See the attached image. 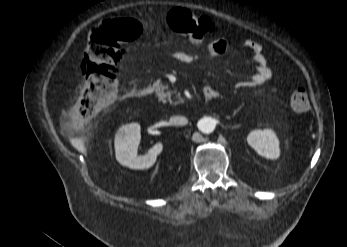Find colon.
Returning <instances> with one entry per match:
<instances>
[{
  "label": "colon",
  "instance_id": "obj_1",
  "mask_svg": "<svg viewBox=\"0 0 347 247\" xmlns=\"http://www.w3.org/2000/svg\"><path fill=\"white\" fill-rule=\"evenodd\" d=\"M167 22L174 32L192 43L201 42L215 30L210 18L186 9L172 10ZM142 28L138 20L120 16L104 20L93 30L81 66L84 80L81 97L69 114L68 123L73 132L83 129L98 112L113 103L124 44L136 39ZM289 103L296 111H306L309 105L306 89L294 87Z\"/></svg>",
  "mask_w": 347,
  "mask_h": 247
}]
</instances>
